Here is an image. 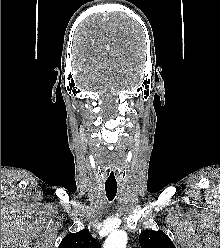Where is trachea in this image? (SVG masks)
<instances>
[{
  "label": "trachea",
  "mask_w": 220,
  "mask_h": 248,
  "mask_svg": "<svg viewBox=\"0 0 220 248\" xmlns=\"http://www.w3.org/2000/svg\"><path fill=\"white\" fill-rule=\"evenodd\" d=\"M105 191L107 198L112 201L117 193V184L115 183H106L105 184Z\"/></svg>",
  "instance_id": "3493384b"
}]
</instances>
